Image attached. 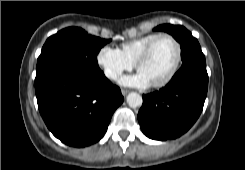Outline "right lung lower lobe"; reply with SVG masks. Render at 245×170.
Here are the masks:
<instances>
[{
  "label": "right lung lower lobe",
  "instance_id": "obj_1",
  "mask_svg": "<svg viewBox=\"0 0 245 170\" xmlns=\"http://www.w3.org/2000/svg\"><path fill=\"white\" fill-rule=\"evenodd\" d=\"M40 114L64 144L85 147L105 134L124 101L119 87L99 70H65L35 85Z\"/></svg>",
  "mask_w": 245,
  "mask_h": 170
}]
</instances>
